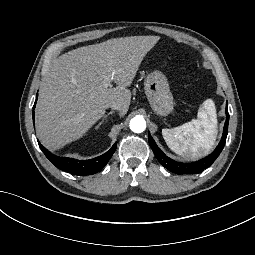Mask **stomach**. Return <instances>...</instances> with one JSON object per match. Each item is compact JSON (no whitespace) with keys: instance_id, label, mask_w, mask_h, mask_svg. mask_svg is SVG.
<instances>
[{"instance_id":"0dacf381","label":"stomach","mask_w":255,"mask_h":255,"mask_svg":"<svg viewBox=\"0 0 255 255\" xmlns=\"http://www.w3.org/2000/svg\"><path fill=\"white\" fill-rule=\"evenodd\" d=\"M144 90L151 108L158 115L167 116L173 111V95L167 77L162 72L149 73L144 81Z\"/></svg>"}]
</instances>
